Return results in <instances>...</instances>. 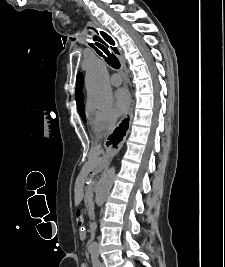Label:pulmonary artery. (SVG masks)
Returning a JSON list of instances; mask_svg holds the SVG:
<instances>
[{"mask_svg":"<svg viewBox=\"0 0 225 267\" xmlns=\"http://www.w3.org/2000/svg\"><path fill=\"white\" fill-rule=\"evenodd\" d=\"M122 82V78L118 74H113L110 77V83L113 86H118Z\"/></svg>","mask_w":225,"mask_h":267,"instance_id":"e3ab8cb5","label":"pulmonary artery"}]
</instances>
